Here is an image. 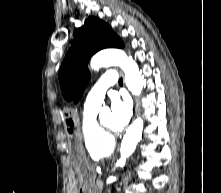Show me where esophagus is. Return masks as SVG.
Returning a JSON list of instances; mask_svg holds the SVG:
<instances>
[{
  "instance_id": "34e87169",
  "label": "esophagus",
  "mask_w": 221,
  "mask_h": 193,
  "mask_svg": "<svg viewBox=\"0 0 221 193\" xmlns=\"http://www.w3.org/2000/svg\"><path fill=\"white\" fill-rule=\"evenodd\" d=\"M134 103H135V115H134V118H135V116L137 115V106H136V101H135V99H134Z\"/></svg>"
}]
</instances>
